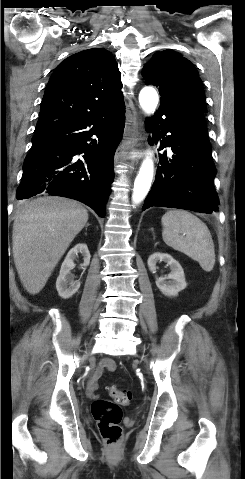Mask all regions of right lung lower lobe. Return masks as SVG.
Returning a JSON list of instances; mask_svg holds the SVG:
<instances>
[{"label":"right lung lower lobe","instance_id":"obj_1","mask_svg":"<svg viewBox=\"0 0 245 479\" xmlns=\"http://www.w3.org/2000/svg\"><path fill=\"white\" fill-rule=\"evenodd\" d=\"M124 125L125 106L61 119L36 131L17 199L37 194L64 196L104 217L114 177L113 157Z\"/></svg>","mask_w":245,"mask_h":479}]
</instances>
